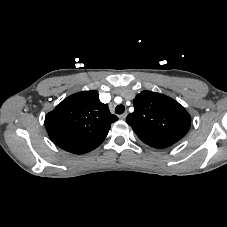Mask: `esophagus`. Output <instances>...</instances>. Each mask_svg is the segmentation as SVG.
Listing matches in <instances>:
<instances>
[{
	"label": "esophagus",
	"mask_w": 227,
	"mask_h": 227,
	"mask_svg": "<svg viewBox=\"0 0 227 227\" xmlns=\"http://www.w3.org/2000/svg\"><path fill=\"white\" fill-rule=\"evenodd\" d=\"M126 116H127V112L121 114V115L119 116V118H120L121 120H124V119L126 118Z\"/></svg>",
	"instance_id": "34e87169"
}]
</instances>
